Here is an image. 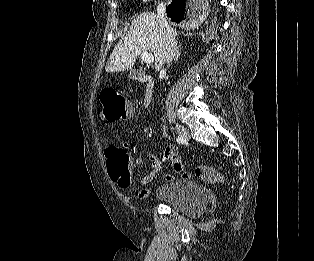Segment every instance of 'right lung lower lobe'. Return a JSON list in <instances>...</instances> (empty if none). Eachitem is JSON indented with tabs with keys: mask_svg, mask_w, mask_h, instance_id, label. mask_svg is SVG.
<instances>
[{
	"mask_svg": "<svg viewBox=\"0 0 314 261\" xmlns=\"http://www.w3.org/2000/svg\"><path fill=\"white\" fill-rule=\"evenodd\" d=\"M188 2L186 0H173L172 3L168 6L166 13L167 16L179 23L186 18L188 11Z\"/></svg>",
	"mask_w": 314,
	"mask_h": 261,
	"instance_id": "right-lung-lower-lobe-1",
	"label": "right lung lower lobe"
}]
</instances>
